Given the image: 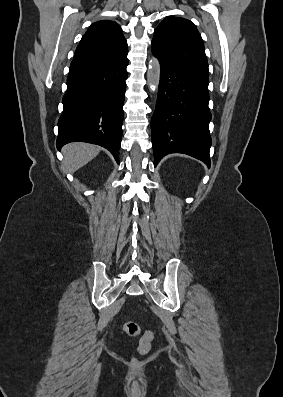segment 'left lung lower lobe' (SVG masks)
I'll return each instance as SVG.
<instances>
[{
  "label": "left lung lower lobe",
  "instance_id": "0a47b994",
  "mask_svg": "<svg viewBox=\"0 0 283 397\" xmlns=\"http://www.w3.org/2000/svg\"><path fill=\"white\" fill-rule=\"evenodd\" d=\"M161 65L157 104L151 119L154 165L169 153H183L210 167L209 79L151 46Z\"/></svg>",
  "mask_w": 283,
  "mask_h": 397
}]
</instances>
